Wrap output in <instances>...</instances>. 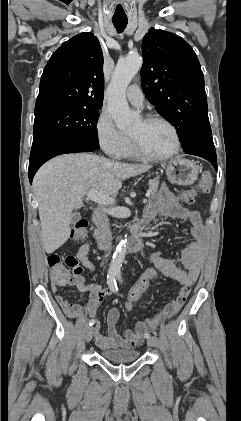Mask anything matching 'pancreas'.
<instances>
[{
    "label": "pancreas",
    "mask_w": 241,
    "mask_h": 421,
    "mask_svg": "<svg viewBox=\"0 0 241 421\" xmlns=\"http://www.w3.org/2000/svg\"><path fill=\"white\" fill-rule=\"evenodd\" d=\"M158 185H159V178H154V179L149 180L148 186H149V191L152 195L156 194L158 190Z\"/></svg>",
    "instance_id": "pancreas-1"
}]
</instances>
